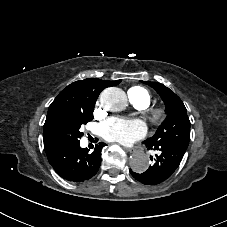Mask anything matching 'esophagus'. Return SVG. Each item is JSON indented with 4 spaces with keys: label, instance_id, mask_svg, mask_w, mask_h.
I'll list each match as a JSON object with an SVG mask.
<instances>
[{
    "label": "esophagus",
    "instance_id": "1",
    "mask_svg": "<svg viewBox=\"0 0 227 227\" xmlns=\"http://www.w3.org/2000/svg\"><path fill=\"white\" fill-rule=\"evenodd\" d=\"M146 152V147L145 146H135L130 148V153L131 154H136V153H145Z\"/></svg>",
    "mask_w": 227,
    "mask_h": 227
}]
</instances>
